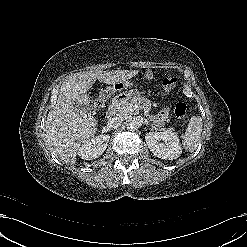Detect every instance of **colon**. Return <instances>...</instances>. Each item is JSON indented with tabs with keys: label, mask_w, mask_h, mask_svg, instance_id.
Wrapping results in <instances>:
<instances>
[{
	"label": "colon",
	"mask_w": 247,
	"mask_h": 247,
	"mask_svg": "<svg viewBox=\"0 0 247 247\" xmlns=\"http://www.w3.org/2000/svg\"><path fill=\"white\" fill-rule=\"evenodd\" d=\"M178 86L179 82L176 77H166L162 80V87L167 93H172L176 91ZM174 114L178 119L182 121H187L188 110L186 104L183 102H178L174 107Z\"/></svg>",
	"instance_id": "colon-1"
}]
</instances>
